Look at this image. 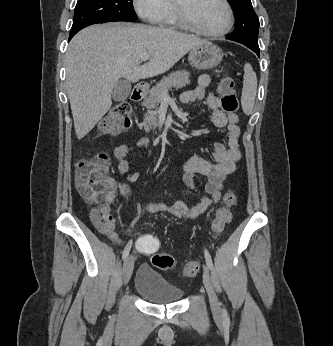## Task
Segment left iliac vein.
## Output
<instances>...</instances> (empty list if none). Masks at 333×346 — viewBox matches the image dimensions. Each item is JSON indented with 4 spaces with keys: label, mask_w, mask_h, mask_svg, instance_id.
Returning a JSON list of instances; mask_svg holds the SVG:
<instances>
[{
    "label": "left iliac vein",
    "mask_w": 333,
    "mask_h": 346,
    "mask_svg": "<svg viewBox=\"0 0 333 346\" xmlns=\"http://www.w3.org/2000/svg\"><path fill=\"white\" fill-rule=\"evenodd\" d=\"M203 283L208 293L211 309L214 314L219 315L221 313V306L216 292L212 286L210 270L207 266H204Z\"/></svg>",
    "instance_id": "1"
}]
</instances>
